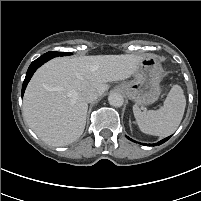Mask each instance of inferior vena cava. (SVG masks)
I'll use <instances>...</instances> for the list:
<instances>
[{
    "label": "inferior vena cava",
    "mask_w": 201,
    "mask_h": 201,
    "mask_svg": "<svg viewBox=\"0 0 201 201\" xmlns=\"http://www.w3.org/2000/svg\"><path fill=\"white\" fill-rule=\"evenodd\" d=\"M82 96L89 103L96 100L98 97L97 93L92 88L84 90Z\"/></svg>",
    "instance_id": "602c4592"
}]
</instances>
